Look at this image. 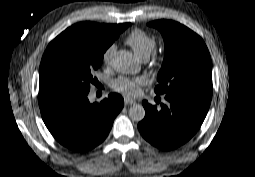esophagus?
<instances>
[{
	"label": "esophagus",
	"instance_id": "34e87169",
	"mask_svg": "<svg viewBox=\"0 0 255 177\" xmlns=\"http://www.w3.org/2000/svg\"><path fill=\"white\" fill-rule=\"evenodd\" d=\"M124 102H125L126 105H128V104H135L136 103L135 100L127 98V97L124 98Z\"/></svg>",
	"mask_w": 255,
	"mask_h": 177
}]
</instances>
